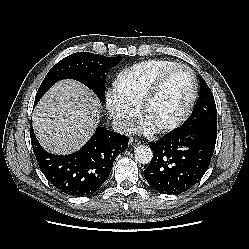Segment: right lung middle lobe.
Here are the masks:
<instances>
[{
	"instance_id": "obj_1",
	"label": "right lung middle lobe",
	"mask_w": 249,
	"mask_h": 249,
	"mask_svg": "<svg viewBox=\"0 0 249 249\" xmlns=\"http://www.w3.org/2000/svg\"><path fill=\"white\" fill-rule=\"evenodd\" d=\"M122 56L105 57L102 55L79 52L59 61L48 72L35 97V104L57 81L62 79L77 80L94 90L101 102L104 101L106 73L117 65Z\"/></svg>"
}]
</instances>
